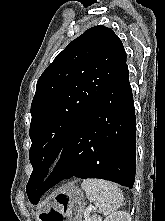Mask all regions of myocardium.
I'll list each match as a JSON object with an SVG mask.
<instances>
[{"label": "myocardium", "instance_id": "f54148a6", "mask_svg": "<svg viewBox=\"0 0 165 221\" xmlns=\"http://www.w3.org/2000/svg\"><path fill=\"white\" fill-rule=\"evenodd\" d=\"M69 158V152L66 148L59 149L54 155V163L56 165H64Z\"/></svg>", "mask_w": 165, "mask_h": 221}]
</instances>
